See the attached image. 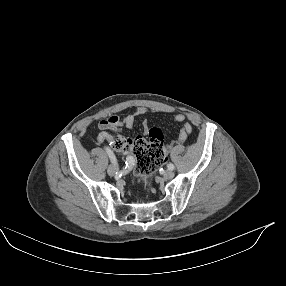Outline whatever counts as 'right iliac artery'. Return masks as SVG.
Wrapping results in <instances>:
<instances>
[{
	"mask_svg": "<svg viewBox=\"0 0 286 286\" xmlns=\"http://www.w3.org/2000/svg\"><path fill=\"white\" fill-rule=\"evenodd\" d=\"M105 151L107 152L108 156L110 157V160L112 162L113 165H117V159L115 157V155L113 154V152L111 151V149L107 146L104 147ZM126 167H130L134 164V158L132 156H128L126 158Z\"/></svg>",
	"mask_w": 286,
	"mask_h": 286,
	"instance_id": "right-iliac-artery-1",
	"label": "right iliac artery"
}]
</instances>
